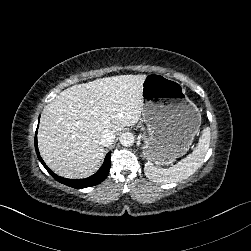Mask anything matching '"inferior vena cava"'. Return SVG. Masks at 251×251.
Returning a JSON list of instances; mask_svg holds the SVG:
<instances>
[{"mask_svg": "<svg viewBox=\"0 0 251 251\" xmlns=\"http://www.w3.org/2000/svg\"><path fill=\"white\" fill-rule=\"evenodd\" d=\"M115 140V133L111 130H105L101 135V143L103 146H111Z\"/></svg>", "mask_w": 251, "mask_h": 251, "instance_id": "inferior-vena-cava-1", "label": "inferior vena cava"}]
</instances>
